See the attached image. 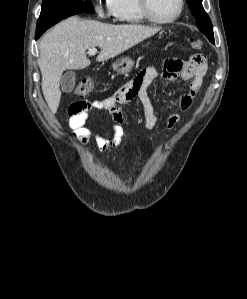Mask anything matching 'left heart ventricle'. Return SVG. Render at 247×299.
Returning a JSON list of instances; mask_svg holds the SVG:
<instances>
[{"instance_id": "b2bd125f", "label": "left heart ventricle", "mask_w": 247, "mask_h": 299, "mask_svg": "<svg viewBox=\"0 0 247 299\" xmlns=\"http://www.w3.org/2000/svg\"><path fill=\"white\" fill-rule=\"evenodd\" d=\"M152 14L159 19L172 17L178 9V0H149Z\"/></svg>"}]
</instances>
